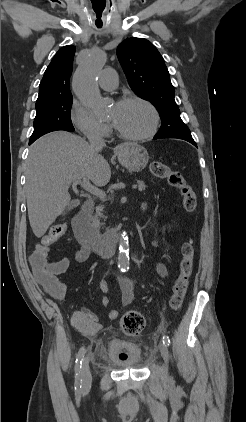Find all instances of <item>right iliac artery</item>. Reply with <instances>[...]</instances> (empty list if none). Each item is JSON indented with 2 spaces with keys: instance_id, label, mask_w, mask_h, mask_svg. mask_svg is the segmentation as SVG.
<instances>
[{
  "instance_id": "obj_1",
  "label": "right iliac artery",
  "mask_w": 246,
  "mask_h": 422,
  "mask_svg": "<svg viewBox=\"0 0 246 422\" xmlns=\"http://www.w3.org/2000/svg\"><path fill=\"white\" fill-rule=\"evenodd\" d=\"M85 349L82 347L78 351L75 361V390L79 391L82 387V361L84 359Z\"/></svg>"
}]
</instances>
